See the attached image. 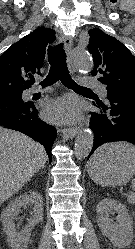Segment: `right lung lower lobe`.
<instances>
[{
    "label": "right lung lower lobe",
    "mask_w": 135,
    "mask_h": 249,
    "mask_svg": "<svg viewBox=\"0 0 135 249\" xmlns=\"http://www.w3.org/2000/svg\"><path fill=\"white\" fill-rule=\"evenodd\" d=\"M0 125L20 131L40 142L51 161L56 129L39 119L38 111L32 102H24L22 98L0 94Z\"/></svg>",
    "instance_id": "1"
}]
</instances>
